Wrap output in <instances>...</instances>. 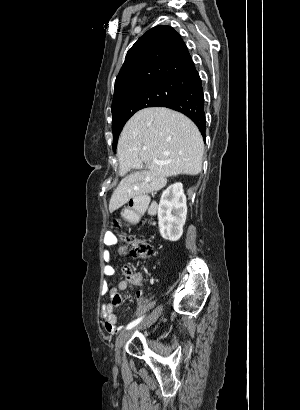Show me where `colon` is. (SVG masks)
<instances>
[{"instance_id":"colon-1","label":"colon","mask_w":300,"mask_h":410,"mask_svg":"<svg viewBox=\"0 0 300 410\" xmlns=\"http://www.w3.org/2000/svg\"><path fill=\"white\" fill-rule=\"evenodd\" d=\"M129 246V256L132 260H141L148 257L151 253V245L140 235L128 234L122 237ZM131 273V269H127Z\"/></svg>"}]
</instances>
